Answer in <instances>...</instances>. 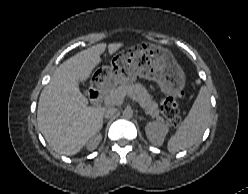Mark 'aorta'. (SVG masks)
Returning <instances> with one entry per match:
<instances>
[{
    "mask_svg": "<svg viewBox=\"0 0 248 194\" xmlns=\"http://www.w3.org/2000/svg\"><path fill=\"white\" fill-rule=\"evenodd\" d=\"M123 117L126 118V119L132 118L133 117V110L131 108H126L123 111Z\"/></svg>",
    "mask_w": 248,
    "mask_h": 194,
    "instance_id": "1",
    "label": "aorta"
}]
</instances>
